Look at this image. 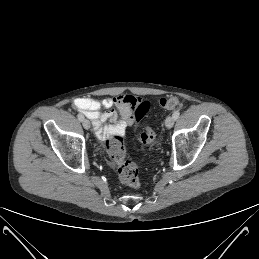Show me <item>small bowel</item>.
<instances>
[{
  "label": "small bowel",
  "instance_id": "small-bowel-1",
  "mask_svg": "<svg viewBox=\"0 0 259 259\" xmlns=\"http://www.w3.org/2000/svg\"><path fill=\"white\" fill-rule=\"evenodd\" d=\"M139 102L138 97L124 94L102 99L76 98L73 105L92 121L99 140L105 141L112 135H122L134 124V110Z\"/></svg>",
  "mask_w": 259,
  "mask_h": 259
}]
</instances>
